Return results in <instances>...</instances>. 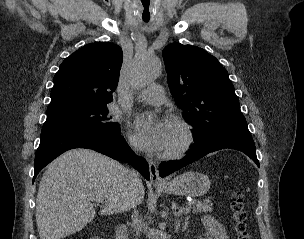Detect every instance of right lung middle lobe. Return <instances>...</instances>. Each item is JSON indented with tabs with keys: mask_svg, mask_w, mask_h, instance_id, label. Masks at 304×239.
Returning a JSON list of instances; mask_svg holds the SVG:
<instances>
[{
	"mask_svg": "<svg viewBox=\"0 0 304 239\" xmlns=\"http://www.w3.org/2000/svg\"><path fill=\"white\" fill-rule=\"evenodd\" d=\"M108 113L107 106L101 105L47 115L41 134L58 131H90L118 136L121 134L120 126L112 121Z\"/></svg>",
	"mask_w": 304,
	"mask_h": 239,
	"instance_id": "right-lung-middle-lobe-1",
	"label": "right lung middle lobe"
}]
</instances>
